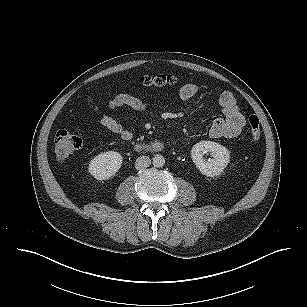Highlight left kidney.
<instances>
[{"label":"left kidney","mask_w":307,"mask_h":307,"mask_svg":"<svg viewBox=\"0 0 307 307\" xmlns=\"http://www.w3.org/2000/svg\"><path fill=\"white\" fill-rule=\"evenodd\" d=\"M211 152L213 159L206 161L203 154ZM191 158L199 171L206 176H219L230 161L229 150L213 141H201L196 143L191 150Z\"/></svg>","instance_id":"5707ae66"}]
</instances>
